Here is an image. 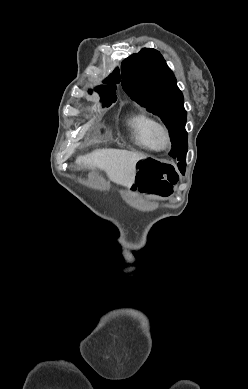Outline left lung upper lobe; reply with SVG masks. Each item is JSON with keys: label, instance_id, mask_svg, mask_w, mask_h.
Here are the masks:
<instances>
[{"label": "left lung upper lobe", "instance_id": "obj_1", "mask_svg": "<svg viewBox=\"0 0 248 389\" xmlns=\"http://www.w3.org/2000/svg\"><path fill=\"white\" fill-rule=\"evenodd\" d=\"M121 71L123 89L163 120L172 142L170 155L184 161L188 149L184 98L160 52L143 48L123 61Z\"/></svg>", "mask_w": 248, "mask_h": 389}]
</instances>
